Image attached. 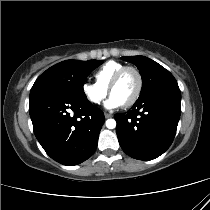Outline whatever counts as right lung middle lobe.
<instances>
[{
  "instance_id": "1",
  "label": "right lung middle lobe",
  "mask_w": 210,
  "mask_h": 210,
  "mask_svg": "<svg viewBox=\"0 0 210 210\" xmlns=\"http://www.w3.org/2000/svg\"><path fill=\"white\" fill-rule=\"evenodd\" d=\"M103 61L66 60L60 62L42 73L30 91V98L47 93L68 94L86 98L83 90L87 76Z\"/></svg>"
}]
</instances>
